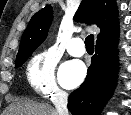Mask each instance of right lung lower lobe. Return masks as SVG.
Returning <instances> with one entry per match:
<instances>
[{
    "mask_svg": "<svg viewBox=\"0 0 131 115\" xmlns=\"http://www.w3.org/2000/svg\"><path fill=\"white\" fill-rule=\"evenodd\" d=\"M117 43L118 36L96 44L84 83L69 96L73 115H100L116 84Z\"/></svg>",
    "mask_w": 131,
    "mask_h": 115,
    "instance_id": "98d812e1",
    "label": "right lung lower lobe"
}]
</instances>
